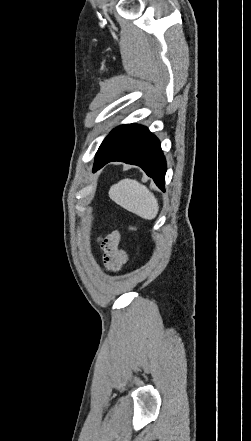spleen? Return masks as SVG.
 <instances>
[{
	"label": "spleen",
	"mask_w": 251,
	"mask_h": 441,
	"mask_svg": "<svg viewBox=\"0 0 251 441\" xmlns=\"http://www.w3.org/2000/svg\"><path fill=\"white\" fill-rule=\"evenodd\" d=\"M109 197L124 209L141 218L152 220L159 211L157 199L149 189L133 179H123L112 185Z\"/></svg>",
	"instance_id": "1"
}]
</instances>
